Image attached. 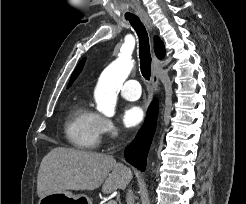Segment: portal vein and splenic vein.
Listing matches in <instances>:
<instances>
[{"instance_id": "obj_1", "label": "portal vein and splenic vein", "mask_w": 246, "mask_h": 204, "mask_svg": "<svg viewBox=\"0 0 246 204\" xmlns=\"http://www.w3.org/2000/svg\"><path fill=\"white\" fill-rule=\"evenodd\" d=\"M107 204H117V202H116V200L112 199V200L108 201Z\"/></svg>"}]
</instances>
